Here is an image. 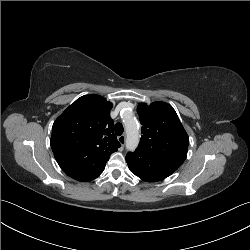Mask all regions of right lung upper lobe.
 <instances>
[{"instance_id": "1", "label": "right lung upper lobe", "mask_w": 250, "mask_h": 250, "mask_svg": "<svg viewBox=\"0 0 250 250\" xmlns=\"http://www.w3.org/2000/svg\"><path fill=\"white\" fill-rule=\"evenodd\" d=\"M112 103L85 95L71 104L52 126L51 148L62 170L78 181L96 179L120 143L110 117Z\"/></svg>"}]
</instances>
